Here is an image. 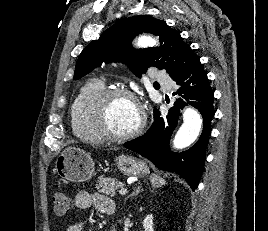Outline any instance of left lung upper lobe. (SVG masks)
Listing matches in <instances>:
<instances>
[{"label": "left lung upper lobe", "instance_id": "5c2ea615", "mask_svg": "<svg viewBox=\"0 0 268 231\" xmlns=\"http://www.w3.org/2000/svg\"><path fill=\"white\" fill-rule=\"evenodd\" d=\"M158 35L163 43L159 48L134 49L131 41L140 33ZM197 58L180 33L164 21L149 15H139L119 20L92 41L79 55L74 79H80L94 68L115 61L126 63L138 77L150 66L165 69L170 77L183 72ZM159 111L154 109V115Z\"/></svg>", "mask_w": 268, "mask_h": 231}]
</instances>
